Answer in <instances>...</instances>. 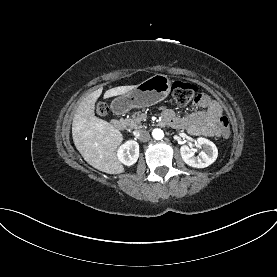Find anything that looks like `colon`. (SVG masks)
Returning a JSON list of instances; mask_svg holds the SVG:
<instances>
[{
	"label": "colon",
	"instance_id": "5ec220e1",
	"mask_svg": "<svg viewBox=\"0 0 277 277\" xmlns=\"http://www.w3.org/2000/svg\"><path fill=\"white\" fill-rule=\"evenodd\" d=\"M172 96L174 100L180 105H187L191 102H198L202 94L197 85L186 81H175L172 85ZM107 106L103 103H99L96 107V111L99 115H105L107 113ZM222 136L229 138L230 131L228 128V120L226 117H222L221 120Z\"/></svg>",
	"mask_w": 277,
	"mask_h": 277
}]
</instances>
